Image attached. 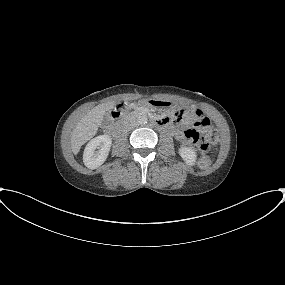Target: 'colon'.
<instances>
[{
    "label": "colon",
    "mask_w": 285,
    "mask_h": 285,
    "mask_svg": "<svg viewBox=\"0 0 285 285\" xmlns=\"http://www.w3.org/2000/svg\"><path fill=\"white\" fill-rule=\"evenodd\" d=\"M177 119H188L194 122L197 128H190L185 132V138L188 142L196 144L202 154L199 158V166L202 169H208L212 164L211 157L207 154L210 145L216 143L218 136L215 130L202 133L201 130L210 125V120L203 114H196L195 110L178 111L175 113Z\"/></svg>",
    "instance_id": "5ec220e1"
}]
</instances>
